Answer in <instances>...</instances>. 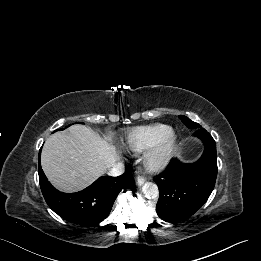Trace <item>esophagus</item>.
Returning a JSON list of instances; mask_svg holds the SVG:
<instances>
[{"instance_id":"obj_1","label":"esophagus","mask_w":261,"mask_h":261,"mask_svg":"<svg viewBox=\"0 0 261 261\" xmlns=\"http://www.w3.org/2000/svg\"><path fill=\"white\" fill-rule=\"evenodd\" d=\"M144 182H145V179L143 177L138 176L135 178V183L138 186L142 185Z\"/></svg>"}]
</instances>
